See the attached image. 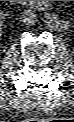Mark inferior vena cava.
Here are the masks:
<instances>
[{
	"label": "inferior vena cava",
	"instance_id": "inferior-vena-cava-1",
	"mask_svg": "<svg viewBox=\"0 0 74 122\" xmlns=\"http://www.w3.org/2000/svg\"><path fill=\"white\" fill-rule=\"evenodd\" d=\"M36 17V14L28 9L23 12L21 18L26 25H34L36 22Z\"/></svg>",
	"mask_w": 74,
	"mask_h": 122
}]
</instances>
